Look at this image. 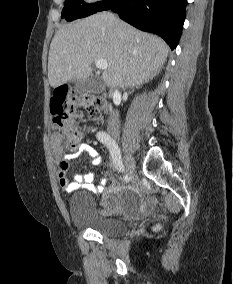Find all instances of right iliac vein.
Masks as SVG:
<instances>
[{
    "label": "right iliac vein",
    "mask_w": 233,
    "mask_h": 284,
    "mask_svg": "<svg viewBox=\"0 0 233 284\" xmlns=\"http://www.w3.org/2000/svg\"><path fill=\"white\" fill-rule=\"evenodd\" d=\"M124 162L128 172V177H135V172H133L135 170V162L133 158L129 154H126L124 157Z\"/></svg>",
    "instance_id": "63e3f726"
}]
</instances>
